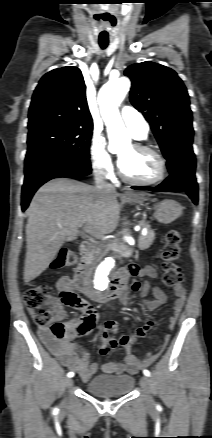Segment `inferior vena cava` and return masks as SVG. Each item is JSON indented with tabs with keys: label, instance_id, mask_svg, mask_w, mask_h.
I'll return each mask as SVG.
<instances>
[{
	"label": "inferior vena cava",
	"instance_id": "obj_1",
	"mask_svg": "<svg viewBox=\"0 0 212 438\" xmlns=\"http://www.w3.org/2000/svg\"><path fill=\"white\" fill-rule=\"evenodd\" d=\"M95 187L99 191H114L115 188L108 182L104 180V173L102 171H98L95 174Z\"/></svg>",
	"mask_w": 212,
	"mask_h": 438
}]
</instances>
